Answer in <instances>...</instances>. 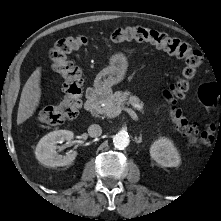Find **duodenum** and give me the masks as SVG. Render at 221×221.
Instances as JSON below:
<instances>
[{
	"label": "duodenum",
	"mask_w": 221,
	"mask_h": 221,
	"mask_svg": "<svg viewBox=\"0 0 221 221\" xmlns=\"http://www.w3.org/2000/svg\"><path fill=\"white\" fill-rule=\"evenodd\" d=\"M107 96V92L104 89H90L87 92L85 109L87 111L94 110L98 103Z\"/></svg>",
	"instance_id": "1"
}]
</instances>
